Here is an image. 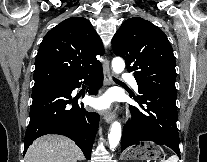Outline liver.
<instances>
[{
	"instance_id": "6515ba94",
	"label": "liver",
	"mask_w": 207,
	"mask_h": 162,
	"mask_svg": "<svg viewBox=\"0 0 207 162\" xmlns=\"http://www.w3.org/2000/svg\"><path fill=\"white\" fill-rule=\"evenodd\" d=\"M84 156L80 148L69 138L56 134L36 139L25 154V162H77Z\"/></svg>"
}]
</instances>
